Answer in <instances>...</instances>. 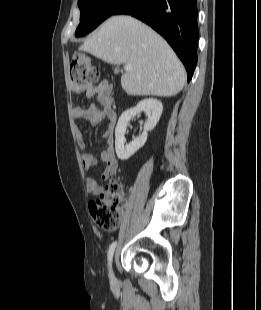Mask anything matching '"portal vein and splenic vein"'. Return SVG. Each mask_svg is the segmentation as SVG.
Wrapping results in <instances>:
<instances>
[{"instance_id":"portal-vein-and-splenic-vein-1","label":"portal vein and splenic vein","mask_w":261,"mask_h":310,"mask_svg":"<svg viewBox=\"0 0 261 310\" xmlns=\"http://www.w3.org/2000/svg\"><path fill=\"white\" fill-rule=\"evenodd\" d=\"M125 71H130L132 69L131 65L126 64L124 66Z\"/></svg>"}]
</instances>
